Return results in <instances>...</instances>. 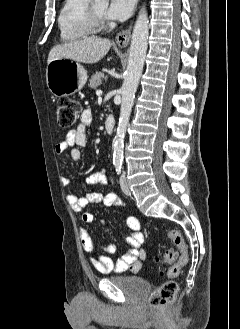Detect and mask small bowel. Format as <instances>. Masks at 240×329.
Masks as SVG:
<instances>
[{
    "label": "small bowel",
    "instance_id": "small-bowel-1",
    "mask_svg": "<svg viewBox=\"0 0 240 329\" xmlns=\"http://www.w3.org/2000/svg\"><path fill=\"white\" fill-rule=\"evenodd\" d=\"M92 111L90 109L83 110L80 116L79 125L70 130L65 139L55 145V153L60 156L64 154L67 150H70V157L74 161H79L82 158V153L79 147H83L87 143V129L92 122ZM63 185L67 186L70 182L69 178L63 176L61 179ZM108 178L106 171L101 169L96 173L90 175L86 179V184L88 186L92 185H107ZM67 201L71 208L75 212H81V220L84 223H90L93 221V214L88 211H84L88 204L100 203L102 202L106 206H124V201L114 193L103 195L100 192H88L83 196L76 194H69L67 196ZM104 224V221H101ZM126 225L129 228L131 234L126 238V252L123 256L112 260L110 257L99 254L96 252V246L103 249L104 252L108 254H113L116 252V246L114 244H96L89 232L81 227L79 231L80 243L88 255V261L90 264L101 273L124 272L130 271L132 273H138L143 266L146 259V254L140 249L142 243L144 242V235L141 231L140 222L137 218L129 216L126 218Z\"/></svg>",
    "mask_w": 240,
    "mask_h": 329
}]
</instances>
